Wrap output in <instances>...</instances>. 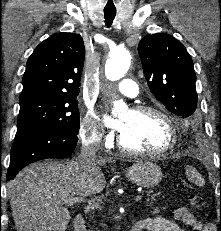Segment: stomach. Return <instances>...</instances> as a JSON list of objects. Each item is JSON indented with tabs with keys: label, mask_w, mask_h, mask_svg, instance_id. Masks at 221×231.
<instances>
[{
	"label": "stomach",
	"mask_w": 221,
	"mask_h": 231,
	"mask_svg": "<svg viewBox=\"0 0 221 231\" xmlns=\"http://www.w3.org/2000/svg\"><path fill=\"white\" fill-rule=\"evenodd\" d=\"M126 177L133 183L144 188H153L162 180L161 168L148 160H140L125 170Z\"/></svg>",
	"instance_id": "stomach-1"
}]
</instances>
